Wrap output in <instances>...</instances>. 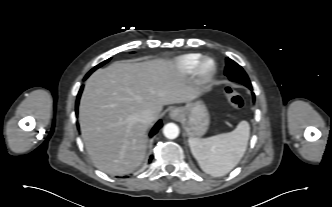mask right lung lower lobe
<instances>
[{
  "label": "right lung lower lobe",
  "mask_w": 332,
  "mask_h": 207,
  "mask_svg": "<svg viewBox=\"0 0 332 207\" xmlns=\"http://www.w3.org/2000/svg\"><path fill=\"white\" fill-rule=\"evenodd\" d=\"M87 77H85L86 79ZM82 89L83 87H81L79 93H78V96H77V101H76V114H77V108H78V104H79V99H80V95H81V92H82ZM162 127V122L161 120L158 121L156 123V125L153 127V129L151 130L150 132V136L152 137L153 135H155L157 133V131ZM151 160V159H150Z\"/></svg>",
  "instance_id": "98d812e1"
}]
</instances>
